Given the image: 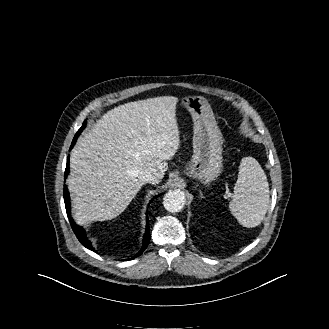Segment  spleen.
I'll return each mask as SVG.
<instances>
[{
	"label": "spleen",
	"mask_w": 329,
	"mask_h": 329,
	"mask_svg": "<svg viewBox=\"0 0 329 329\" xmlns=\"http://www.w3.org/2000/svg\"><path fill=\"white\" fill-rule=\"evenodd\" d=\"M233 192L232 215L244 227L258 226L267 213L270 195L266 174L255 158H242Z\"/></svg>",
	"instance_id": "spleen-1"
}]
</instances>
